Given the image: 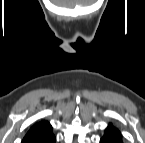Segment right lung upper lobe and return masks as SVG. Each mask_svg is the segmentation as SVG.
Returning a JSON list of instances; mask_svg holds the SVG:
<instances>
[{"label": "right lung upper lobe", "mask_w": 145, "mask_h": 143, "mask_svg": "<svg viewBox=\"0 0 145 143\" xmlns=\"http://www.w3.org/2000/svg\"><path fill=\"white\" fill-rule=\"evenodd\" d=\"M22 143H55L51 125L47 121L36 123L27 132Z\"/></svg>", "instance_id": "cb5924a9"}]
</instances>
